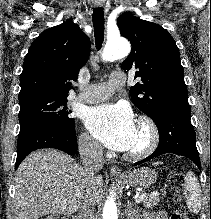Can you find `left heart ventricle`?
Wrapping results in <instances>:
<instances>
[{
    "instance_id": "b2bd125f",
    "label": "left heart ventricle",
    "mask_w": 211,
    "mask_h": 219,
    "mask_svg": "<svg viewBox=\"0 0 211 219\" xmlns=\"http://www.w3.org/2000/svg\"><path fill=\"white\" fill-rule=\"evenodd\" d=\"M145 139L146 137H145L144 132L138 127L135 142L129 151H133L141 147L144 144Z\"/></svg>"
}]
</instances>
